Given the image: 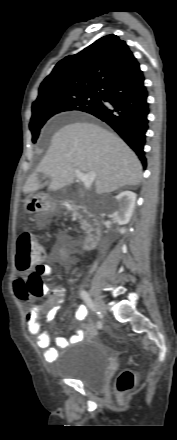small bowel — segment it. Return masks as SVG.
<instances>
[{"instance_id": "small-bowel-1", "label": "small bowel", "mask_w": 177, "mask_h": 440, "mask_svg": "<svg viewBox=\"0 0 177 440\" xmlns=\"http://www.w3.org/2000/svg\"><path fill=\"white\" fill-rule=\"evenodd\" d=\"M60 259L62 261H68L70 260V254L66 250H61ZM15 292L19 299L24 300L27 298V292L21 285L16 286ZM63 297L64 289L60 286H56L51 290L48 300L43 305L31 309L26 314L27 328L29 332L36 337L37 346L45 350L44 356L48 362H54L58 359L60 349L77 343L83 338V333L79 330L77 334L72 335L69 338L56 337V347H50V336L47 332L42 331L41 324L39 323L41 313L46 311V320L51 321L55 317ZM86 315V308L84 306H79L75 312V320L82 321L86 318Z\"/></svg>"}]
</instances>
